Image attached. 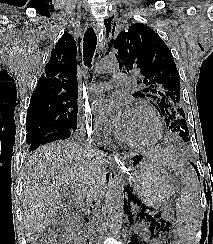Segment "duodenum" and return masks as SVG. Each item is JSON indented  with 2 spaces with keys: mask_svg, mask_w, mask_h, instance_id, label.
Segmentation results:
<instances>
[{
  "mask_svg": "<svg viewBox=\"0 0 213 244\" xmlns=\"http://www.w3.org/2000/svg\"><path fill=\"white\" fill-rule=\"evenodd\" d=\"M96 218V213H95V210L93 208H90L86 215L83 217V220L87 223L91 222L92 220H94ZM91 234V232H90ZM75 244V243H73Z\"/></svg>",
  "mask_w": 213,
  "mask_h": 244,
  "instance_id": "410a0bca",
  "label": "duodenum"
}]
</instances>
